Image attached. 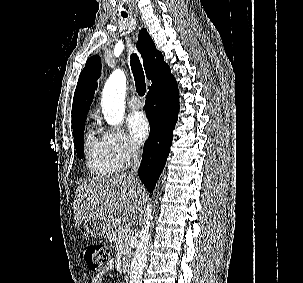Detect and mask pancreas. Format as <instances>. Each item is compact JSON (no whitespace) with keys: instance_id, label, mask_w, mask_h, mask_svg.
<instances>
[{"instance_id":"obj_1","label":"pancreas","mask_w":303,"mask_h":283,"mask_svg":"<svg viewBox=\"0 0 303 283\" xmlns=\"http://www.w3.org/2000/svg\"><path fill=\"white\" fill-rule=\"evenodd\" d=\"M129 238L127 228L121 223L113 222L111 231L107 234V239L110 242H114L116 245L121 244L123 250V263L126 262L131 254L129 247Z\"/></svg>"}]
</instances>
